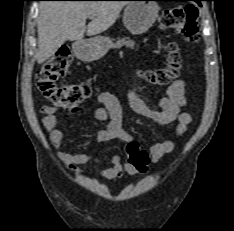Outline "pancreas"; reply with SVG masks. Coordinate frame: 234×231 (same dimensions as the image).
I'll return each mask as SVG.
<instances>
[{
    "label": "pancreas",
    "instance_id": "obj_1",
    "mask_svg": "<svg viewBox=\"0 0 234 231\" xmlns=\"http://www.w3.org/2000/svg\"><path fill=\"white\" fill-rule=\"evenodd\" d=\"M134 42L128 38L118 39V41L113 45L114 48H121L122 46L134 48Z\"/></svg>",
    "mask_w": 234,
    "mask_h": 231
}]
</instances>
